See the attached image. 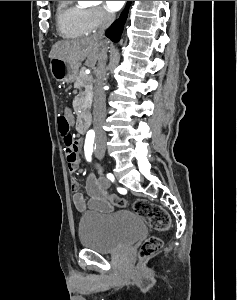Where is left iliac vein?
I'll return each instance as SVG.
<instances>
[{
  "mask_svg": "<svg viewBox=\"0 0 237 300\" xmlns=\"http://www.w3.org/2000/svg\"><path fill=\"white\" fill-rule=\"evenodd\" d=\"M95 155H96V157L99 158V159L103 158V156L98 155L96 151H95Z\"/></svg>",
  "mask_w": 237,
  "mask_h": 300,
  "instance_id": "left-iliac-vein-1",
  "label": "left iliac vein"
}]
</instances>
